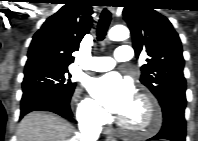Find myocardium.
Here are the masks:
<instances>
[{
    "label": "myocardium",
    "mask_w": 198,
    "mask_h": 141,
    "mask_svg": "<svg viewBox=\"0 0 198 141\" xmlns=\"http://www.w3.org/2000/svg\"><path fill=\"white\" fill-rule=\"evenodd\" d=\"M136 100L145 106L146 108V116H147V123L144 126L138 127L131 125L125 119L120 118L119 124L120 126L133 134H149L155 132L161 122V116L158 109V106L154 99L147 95V94H139Z\"/></svg>",
    "instance_id": "myocardium-1"
}]
</instances>
